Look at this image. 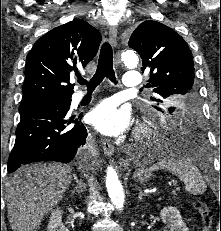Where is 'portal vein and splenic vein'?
Wrapping results in <instances>:
<instances>
[{
	"label": "portal vein and splenic vein",
	"mask_w": 221,
	"mask_h": 231,
	"mask_svg": "<svg viewBox=\"0 0 221 231\" xmlns=\"http://www.w3.org/2000/svg\"><path fill=\"white\" fill-rule=\"evenodd\" d=\"M176 185V183H173V186H175Z\"/></svg>",
	"instance_id": "portal-vein-and-splenic-vein-1"
}]
</instances>
